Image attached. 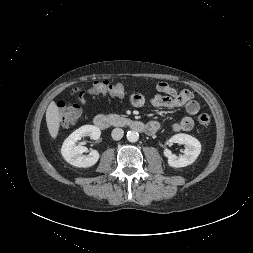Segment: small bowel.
I'll list each match as a JSON object with an SVG mask.
<instances>
[{"label": "small bowel", "instance_id": "c3829d8e", "mask_svg": "<svg viewBox=\"0 0 253 253\" xmlns=\"http://www.w3.org/2000/svg\"><path fill=\"white\" fill-rule=\"evenodd\" d=\"M156 90L159 94L153 97L147 98L145 95L139 92H135L131 95V104L135 107H143L150 104L157 108L176 109L184 107L187 115L184 116L180 121L173 123L172 129L175 132L191 131L194 127L192 116L196 115L200 106L199 103L194 100L193 94L187 89L176 90L166 82H159L156 85ZM77 100L81 104H85V93L84 91H78L76 93ZM149 127L148 132L154 133L160 128L158 121H151L147 124Z\"/></svg>", "mask_w": 253, "mask_h": 253}]
</instances>
